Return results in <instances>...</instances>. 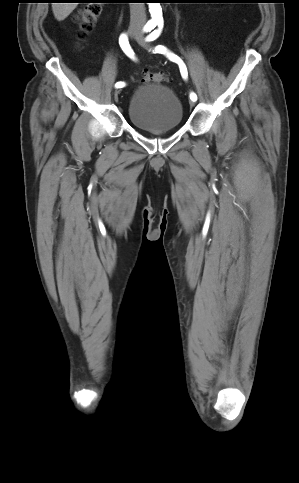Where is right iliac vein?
<instances>
[{
	"instance_id": "1",
	"label": "right iliac vein",
	"mask_w": 299,
	"mask_h": 483,
	"mask_svg": "<svg viewBox=\"0 0 299 483\" xmlns=\"http://www.w3.org/2000/svg\"><path fill=\"white\" fill-rule=\"evenodd\" d=\"M129 35H130V37L137 39V37L139 36V31L134 30V29H130L129 30ZM119 94H120V91L119 90H116L114 92V97H115V100L116 101L118 100Z\"/></svg>"
}]
</instances>
